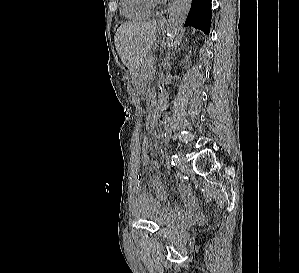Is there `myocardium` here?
<instances>
[{"label": "myocardium", "mask_w": 299, "mask_h": 273, "mask_svg": "<svg viewBox=\"0 0 299 273\" xmlns=\"http://www.w3.org/2000/svg\"><path fill=\"white\" fill-rule=\"evenodd\" d=\"M150 9L157 8L163 0H143Z\"/></svg>", "instance_id": "1"}]
</instances>
